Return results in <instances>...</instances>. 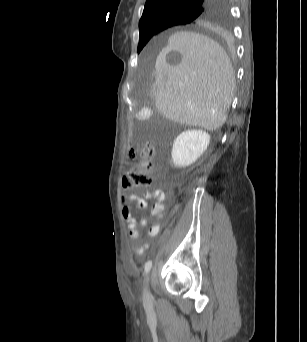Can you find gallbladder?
<instances>
[{
  "label": "gallbladder",
  "instance_id": "obj_1",
  "mask_svg": "<svg viewBox=\"0 0 307 342\" xmlns=\"http://www.w3.org/2000/svg\"><path fill=\"white\" fill-rule=\"evenodd\" d=\"M148 113H149L148 106L146 104L144 106L141 104L138 108L137 117L143 118L144 114H148Z\"/></svg>",
  "mask_w": 307,
  "mask_h": 342
}]
</instances>
